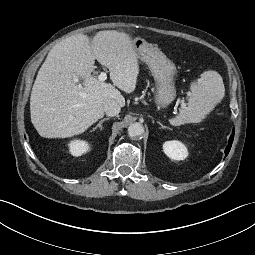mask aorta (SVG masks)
<instances>
[{
    "label": "aorta",
    "mask_w": 255,
    "mask_h": 255,
    "mask_svg": "<svg viewBox=\"0 0 255 255\" xmlns=\"http://www.w3.org/2000/svg\"><path fill=\"white\" fill-rule=\"evenodd\" d=\"M144 127L141 123L135 122L129 125L128 127V135L131 138H138L144 134Z\"/></svg>",
    "instance_id": "1"
}]
</instances>
